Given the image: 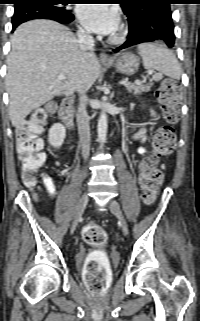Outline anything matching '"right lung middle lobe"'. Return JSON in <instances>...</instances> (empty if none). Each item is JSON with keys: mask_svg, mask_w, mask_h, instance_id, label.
<instances>
[{"mask_svg": "<svg viewBox=\"0 0 200 321\" xmlns=\"http://www.w3.org/2000/svg\"><path fill=\"white\" fill-rule=\"evenodd\" d=\"M69 0H34L30 3L32 4H43L45 6L51 7L58 11H68L65 5L68 4Z\"/></svg>", "mask_w": 200, "mask_h": 321, "instance_id": "1", "label": "right lung middle lobe"}]
</instances>
